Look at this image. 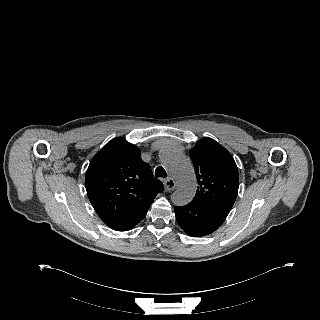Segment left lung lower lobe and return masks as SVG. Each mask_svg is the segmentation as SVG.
<instances>
[{"mask_svg":"<svg viewBox=\"0 0 320 320\" xmlns=\"http://www.w3.org/2000/svg\"><path fill=\"white\" fill-rule=\"evenodd\" d=\"M174 210L180 227L193 237L205 236L214 232L229 213L195 201L182 207H174Z\"/></svg>","mask_w":320,"mask_h":320,"instance_id":"left-lung-lower-lobe-1","label":"left lung lower lobe"}]
</instances>
